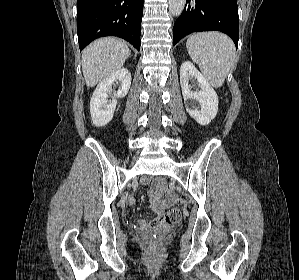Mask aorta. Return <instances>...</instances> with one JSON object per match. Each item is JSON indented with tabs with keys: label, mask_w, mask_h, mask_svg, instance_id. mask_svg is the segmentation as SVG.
<instances>
[{
	"label": "aorta",
	"mask_w": 299,
	"mask_h": 280,
	"mask_svg": "<svg viewBox=\"0 0 299 280\" xmlns=\"http://www.w3.org/2000/svg\"><path fill=\"white\" fill-rule=\"evenodd\" d=\"M186 4V0H169V12L173 16L181 15Z\"/></svg>",
	"instance_id": "aorta-1"
}]
</instances>
